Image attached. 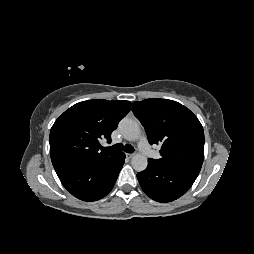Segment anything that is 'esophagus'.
Instances as JSON below:
<instances>
[{
    "label": "esophagus",
    "mask_w": 254,
    "mask_h": 254,
    "mask_svg": "<svg viewBox=\"0 0 254 254\" xmlns=\"http://www.w3.org/2000/svg\"><path fill=\"white\" fill-rule=\"evenodd\" d=\"M133 156H134V154H133V153H127V154H126V157H127L128 159L133 158Z\"/></svg>",
    "instance_id": "34e87169"
}]
</instances>
